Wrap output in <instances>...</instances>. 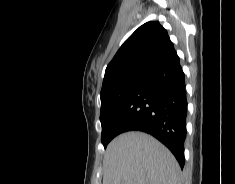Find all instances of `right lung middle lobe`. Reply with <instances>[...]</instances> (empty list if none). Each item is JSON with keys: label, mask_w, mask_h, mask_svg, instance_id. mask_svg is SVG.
Instances as JSON below:
<instances>
[{"label": "right lung middle lobe", "mask_w": 235, "mask_h": 184, "mask_svg": "<svg viewBox=\"0 0 235 184\" xmlns=\"http://www.w3.org/2000/svg\"><path fill=\"white\" fill-rule=\"evenodd\" d=\"M143 78H131L118 87L108 90L101 96L100 121L102 124L101 142L104 148L116 136L111 127L126 99L141 84Z\"/></svg>", "instance_id": "right-lung-middle-lobe-1"}]
</instances>
